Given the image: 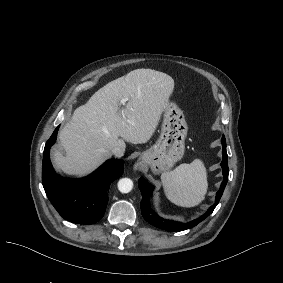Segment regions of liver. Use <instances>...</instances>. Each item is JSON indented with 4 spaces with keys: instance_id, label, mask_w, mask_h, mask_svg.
<instances>
[{
    "instance_id": "6515ba94",
    "label": "liver",
    "mask_w": 283,
    "mask_h": 283,
    "mask_svg": "<svg viewBox=\"0 0 283 283\" xmlns=\"http://www.w3.org/2000/svg\"><path fill=\"white\" fill-rule=\"evenodd\" d=\"M173 89L171 76L144 68L106 84L74 111L60 131L66 156L54 152L56 167L67 174L84 175L110 157L113 148L125 150V141L146 143ZM122 98H128V103L120 109Z\"/></svg>"
}]
</instances>
